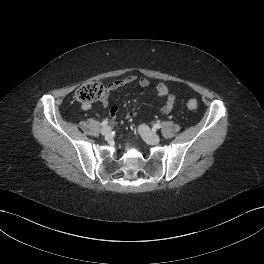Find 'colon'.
<instances>
[{"label": "colon", "mask_w": 264, "mask_h": 264, "mask_svg": "<svg viewBox=\"0 0 264 264\" xmlns=\"http://www.w3.org/2000/svg\"><path fill=\"white\" fill-rule=\"evenodd\" d=\"M105 96V88L99 82H90L84 84L76 91V98L83 104H91L98 100L103 99ZM187 107L190 110H196L198 107V103L194 99H190L187 102Z\"/></svg>", "instance_id": "colon-1"}]
</instances>
